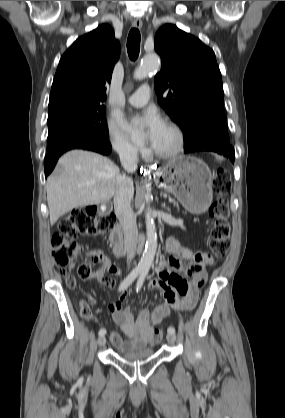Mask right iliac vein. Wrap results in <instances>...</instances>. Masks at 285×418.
Returning a JSON list of instances; mask_svg holds the SVG:
<instances>
[{
    "instance_id": "obj_1",
    "label": "right iliac vein",
    "mask_w": 285,
    "mask_h": 418,
    "mask_svg": "<svg viewBox=\"0 0 285 418\" xmlns=\"http://www.w3.org/2000/svg\"><path fill=\"white\" fill-rule=\"evenodd\" d=\"M105 342H106V337L104 335H102L98 338L97 344H98V346H104Z\"/></svg>"
}]
</instances>
